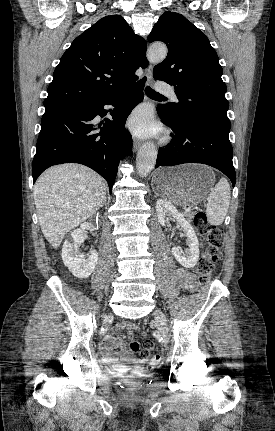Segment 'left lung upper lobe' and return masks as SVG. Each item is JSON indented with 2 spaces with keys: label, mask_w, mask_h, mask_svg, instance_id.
<instances>
[{
  "label": "left lung upper lobe",
  "mask_w": 275,
  "mask_h": 431,
  "mask_svg": "<svg viewBox=\"0 0 275 431\" xmlns=\"http://www.w3.org/2000/svg\"><path fill=\"white\" fill-rule=\"evenodd\" d=\"M148 41H162L169 50L153 70L155 79L174 86L179 100L158 105L166 117L178 123L230 129L223 70L204 33L183 15L168 11L154 25Z\"/></svg>",
  "instance_id": "1"
}]
</instances>
